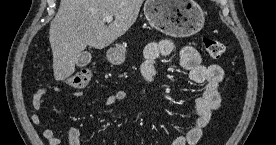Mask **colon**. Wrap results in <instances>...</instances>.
Here are the masks:
<instances>
[{
  "label": "colon",
  "instance_id": "5ec220e1",
  "mask_svg": "<svg viewBox=\"0 0 276 145\" xmlns=\"http://www.w3.org/2000/svg\"><path fill=\"white\" fill-rule=\"evenodd\" d=\"M203 45L207 51V53L212 58H220L225 52V45L223 42L211 38L205 37L203 39ZM92 78V71L90 68L83 67L76 71H74L68 78L66 82L69 86L74 88H83L87 86Z\"/></svg>",
  "mask_w": 276,
  "mask_h": 145
}]
</instances>
